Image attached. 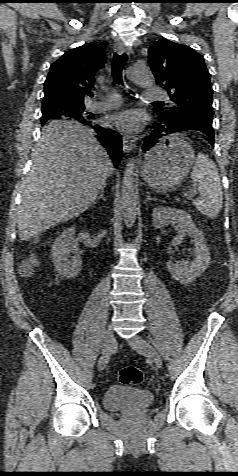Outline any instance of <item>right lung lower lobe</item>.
I'll use <instances>...</instances> for the list:
<instances>
[{"label":"right lung lower lobe","mask_w":238,"mask_h":476,"mask_svg":"<svg viewBox=\"0 0 238 476\" xmlns=\"http://www.w3.org/2000/svg\"><path fill=\"white\" fill-rule=\"evenodd\" d=\"M80 122L92 127L99 134L97 137L98 140L108 151V154L111 156L113 163L116 166L119 163L122 153V139L120 134L111 129H105L95 125L93 120H82Z\"/></svg>","instance_id":"right-lung-lower-lobe-1"}]
</instances>
